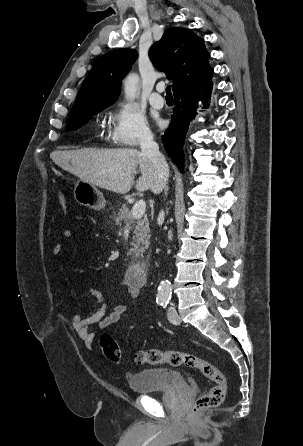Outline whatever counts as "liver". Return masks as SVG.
I'll return each instance as SVG.
<instances>
[{
	"mask_svg": "<svg viewBox=\"0 0 303 446\" xmlns=\"http://www.w3.org/2000/svg\"><path fill=\"white\" fill-rule=\"evenodd\" d=\"M52 161L63 170L100 188L126 194L135 184L137 191L162 188L153 164L137 149H79L54 151ZM139 169L141 176L135 181Z\"/></svg>",
	"mask_w": 303,
	"mask_h": 446,
	"instance_id": "6515ba94",
	"label": "liver"
}]
</instances>
